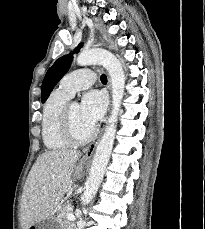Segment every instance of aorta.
<instances>
[{"instance_id": "1", "label": "aorta", "mask_w": 205, "mask_h": 229, "mask_svg": "<svg viewBox=\"0 0 205 229\" xmlns=\"http://www.w3.org/2000/svg\"><path fill=\"white\" fill-rule=\"evenodd\" d=\"M76 62L79 66L91 64H100L108 72L112 85V109L108 119V124L100 142L97 145L89 178L86 182L85 190L81 196L83 206L91 202L95 196L105 174L107 164L112 152L118 114L120 111L122 99L124 96L125 74L120 61L109 51L105 49L94 48L87 51H82Z\"/></svg>"}]
</instances>
